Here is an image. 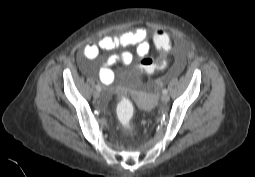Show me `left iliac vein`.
<instances>
[{"label":"left iliac vein","instance_id":"4c4485c4","mask_svg":"<svg viewBox=\"0 0 255 177\" xmlns=\"http://www.w3.org/2000/svg\"><path fill=\"white\" fill-rule=\"evenodd\" d=\"M169 96L167 94H163L161 97L162 102L167 103L169 101Z\"/></svg>","mask_w":255,"mask_h":177}]
</instances>
